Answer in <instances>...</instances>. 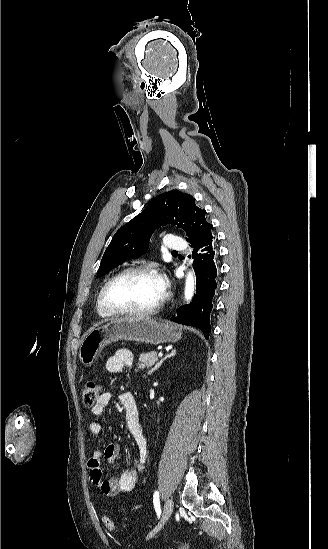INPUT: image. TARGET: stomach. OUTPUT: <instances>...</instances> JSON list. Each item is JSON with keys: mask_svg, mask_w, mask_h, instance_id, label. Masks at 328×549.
Segmentation results:
<instances>
[{"mask_svg": "<svg viewBox=\"0 0 328 549\" xmlns=\"http://www.w3.org/2000/svg\"><path fill=\"white\" fill-rule=\"evenodd\" d=\"M182 339L181 327L170 321H156L148 315L144 317H123L111 319L102 327L87 331L78 351V359L84 367H91L102 349L115 341H138L149 345L176 343Z\"/></svg>", "mask_w": 328, "mask_h": 549, "instance_id": "stomach-1", "label": "stomach"}]
</instances>
